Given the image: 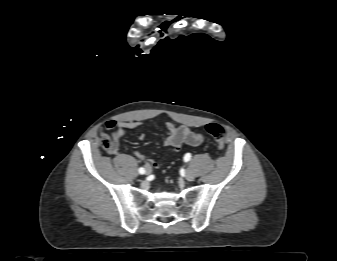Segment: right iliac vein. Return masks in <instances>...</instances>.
Returning <instances> with one entry per match:
<instances>
[{
    "instance_id": "right-iliac-vein-1",
    "label": "right iliac vein",
    "mask_w": 337,
    "mask_h": 261,
    "mask_svg": "<svg viewBox=\"0 0 337 261\" xmlns=\"http://www.w3.org/2000/svg\"><path fill=\"white\" fill-rule=\"evenodd\" d=\"M145 173L148 175V174L151 173V170H150V169H147Z\"/></svg>"
}]
</instances>
